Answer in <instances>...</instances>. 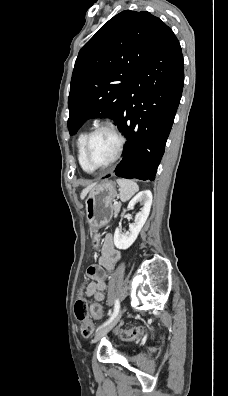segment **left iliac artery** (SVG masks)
<instances>
[{
  "label": "left iliac artery",
  "instance_id": "1",
  "mask_svg": "<svg viewBox=\"0 0 228 396\" xmlns=\"http://www.w3.org/2000/svg\"><path fill=\"white\" fill-rule=\"evenodd\" d=\"M119 309H120V302H119V300L117 299V300L115 301V306H114L113 314L111 315V317H110L105 323H103V325H102L100 328H102V327L106 326L107 324H109V323L116 317V315H117L118 312H119Z\"/></svg>",
  "mask_w": 228,
  "mask_h": 396
}]
</instances>
